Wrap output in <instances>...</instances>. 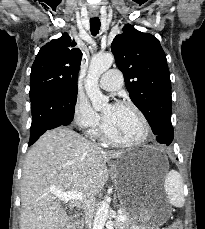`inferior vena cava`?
Returning a JSON list of instances; mask_svg holds the SVG:
<instances>
[{
    "instance_id": "602c4592",
    "label": "inferior vena cava",
    "mask_w": 205,
    "mask_h": 229,
    "mask_svg": "<svg viewBox=\"0 0 205 229\" xmlns=\"http://www.w3.org/2000/svg\"><path fill=\"white\" fill-rule=\"evenodd\" d=\"M92 203L93 200L86 202L84 205L85 226L87 229H91L92 226V219H93V212L91 210Z\"/></svg>"
}]
</instances>
